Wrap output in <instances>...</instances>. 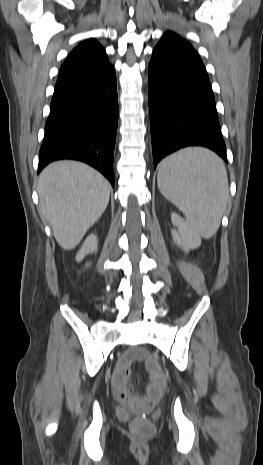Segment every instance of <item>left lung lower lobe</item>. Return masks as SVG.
Returning a JSON list of instances; mask_svg holds the SVG:
<instances>
[{
  "instance_id": "0a47b994",
  "label": "left lung lower lobe",
  "mask_w": 263,
  "mask_h": 465,
  "mask_svg": "<svg viewBox=\"0 0 263 465\" xmlns=\"http://www.w3.org/2000/svg\"><path fill=\"white\" fill-rule=\"evenodd\" d=\"M148 99L154 165L187 146H204L226 162L215 98L202 60L191 48L158 44L149 63Z\"/></svg>"
}]
</instances>
